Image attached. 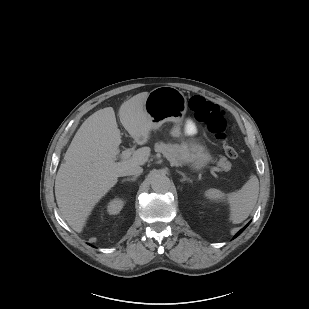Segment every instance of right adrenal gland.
Segmentation results:
<instances>
[{"label": "right adrenal gland", "instance_id": "2a0ac1e0", "mask_svg": "<svg viewBox=\"0 0 309 309\" xmlns=\"http://www.w3.org/2000/svg\"><path fill=\"white\" fill-rule=\"evenodd\" d=\"M137 177L138 176H133L132 178H126V179H123L122 182H126V181H133L134 182Z\"/></svg>", "mask_w": 309, "mask_h": 309}]
</instances>
